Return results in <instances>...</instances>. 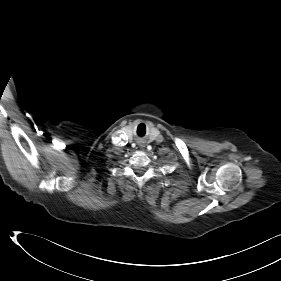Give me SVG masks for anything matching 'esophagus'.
Here are the masks:
<instances>
[{"label":"esophagus","mask_w":281,"mask_h":281,"mask_svg":"<svg viewBox=\"0 0 281 281\" xmlns=\"http://www.w3.org/2000/svg\"><path fill=\"white\" fill-rule=\"evenodd\" d=\"M141 148L145 147L144 145H140Z\"/></svg>","instance_id":"34e87169"}]
</instances>
